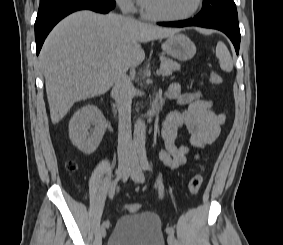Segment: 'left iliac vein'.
Masks as SVG:
<instances>
[{
    "label": "left iliac vein",
    "instance_id": "obj_1",
    "mask_svg": "<svg viewBox=\"0 0 283 245\" xmlns=\"http://www.w3.org/2000/svg\"><path fill=\"white\" fill-rule=\"evenodd\" d=\"M131 164V171L128 172L127 174L131 177V179L136 182V183H143L145 178H144V173L142 171V168L139 164V160L137 156L133 155L130 160ZM167 242L169 245H175V237L173 234H169L167 237Z\"/></svg>",
    "mask_w": 283,
    "mask_h": 245
}]
</instances>
